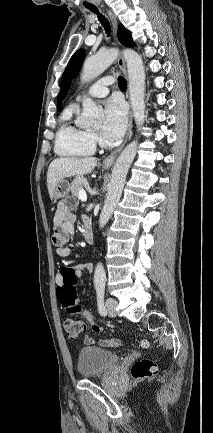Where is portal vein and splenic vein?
<instances>
[{
    "instance_id": "18ae733b",
    "label": "portal vein and splenic vein",
    "mask_w": 213,
    "mask_h": 433,
    "mask_svg": "<svg viewBox=\"0 0 213 433\" xmlns=\"http://www.w3.org/2000/svg\"><path fill=\"white\" fill-rule=\"evenodd\" d=\"M79 198L83 202L87 200V194H86V191L84 189H81L79 191Z\"/></svg>"
}]
</instances>
